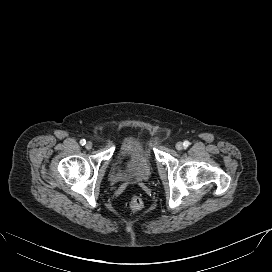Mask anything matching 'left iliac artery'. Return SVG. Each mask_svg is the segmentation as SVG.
<instances>
[{
	"label": "left iliac artery",
	"instance_id": "left-iliac-artery-1",
	"mask_svg": "<svg viewBox=\"0 0 272 272\" xmlns=\"http://www.w3.org/2000/svg\"><path fill=\"white\" fill-rule=\"evenodd\" d=\"M184 147H188L190 145V142L188 140H185L183 142Z\"/></svg>",
	"mask_w": 272,
	"mask_h": 272
}]
</instances>
